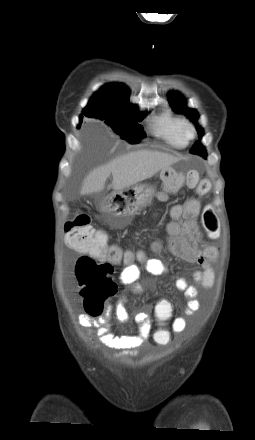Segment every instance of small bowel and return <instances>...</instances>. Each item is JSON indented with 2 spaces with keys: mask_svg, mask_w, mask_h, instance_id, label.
I'll use <instances>...</instances> for the list:
<instances>
[{
  "mask_svg": "<svg viewBox=\"0 0 255 440\" xmlns=\"http://www.w3.org/2000/svg\"><path fill=\"white\" fill-rule=\"evenodd\" d=\"M202 215L201 203L197 200H188L183 204L173 205L169 210L171 221L165 226L167 248L177 257L200 266L201 270L195 272L194 280L205 289H210L214 284V272L210 263L217 257V251L209 245H200L196 236L195 227L197 220ZM212 233L216 229L211 230ZM141 267L151 275L166 274V265L158 258H146L143 253L137 254V263L125 262L120 273L119 280L124 286L129 287L131 293L140 294L142 286L138 282L141 276ZM177 290L184 292L186 297V314L192 315L200 308L197 300L198 288L190 285L185 278H178L175 281ZM126 297H121L115 307L108 304L104 316L92 317L88 314H81L79 323L94 334L105 346L117 350L122 354L133 355L135 351L148 343L151 337V325L148 311H142L135 315V321L139 327L137 335L114 334L108 319L114 311L120 322L128 320V312L125 308ZM186 321L177 317L172 323V330L180 333L185 329ZM169 343V342H168Z\"/></svg>",
  "mask_w": 255,
  "mask_h": 440,
  "instance_id": "small-bowel-1",
  "label": "small bowel"
}]
</instances>
